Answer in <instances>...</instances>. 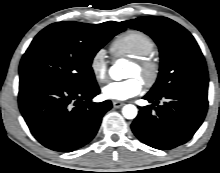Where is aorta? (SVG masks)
Wrapping results in <instances>:
<instances>
[{
    "instance_id": "aorta-1",
    "label": "aorta",
    "mask_w": 220,
    "mask_h": 173,
    "mask_svg": "<svg viewBox=\"0 0 220 173\" xmlns=\"http://www.w3.org/2000/svg\"><path fill=\"white\" fill-rule=\"evenodd\" d=\"M123 62L118 61L115 65H113L110 70L109 74L112 79L114 80H121L124 78V71L122 69ZM138 110L136 106L132 104H127L122 109V114L126 119H134L137 116Z\"/></svg>"
}]
</instances>
